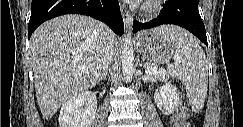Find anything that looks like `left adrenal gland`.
Wrapping results in <instances>:
<instances>
[{
	"mask_svg": "<svg viewBox=\"0 0 243 127\" xmlns=\"http://www.w3.org/2000/svg\"><path fill=\"white\" fill-rule=\"evenodd\" d=\"M140 66H141V67H143V64H142V62L140 63Z\"/></svg>",
	"mask_w": 243,
	"mask_h": 127,
	"instance_id": "obj_1",
	"label": "left adrenal gland"
}]
</instances>
